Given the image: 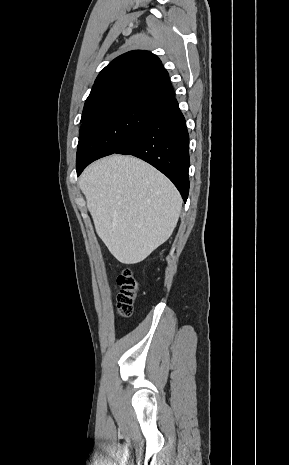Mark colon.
<instances>
[{
	"label": "colon",
	"mask_w": 289,
	"mask_h": 465,
	"mask_svg": "<svg viewBox=\"0 0 289 465\" xmlns=\"http://www.w3.org/2000/svg\"><path fill=\"white\" fill-rule=\"evenodd\" d=\"M120 292L117 296V312L121 317H129L132 314L134 302L138 295L139 285L132 272L124 270L117 278Z\"/></svg>",
	"instance_id": "colon-1"
}]
</instances>
